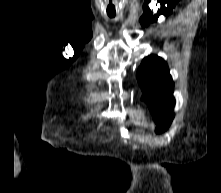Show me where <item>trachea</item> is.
<instances>
[{
  "label": "trachea",
  "instance_id": "trachea-1",
  "mask_svg": "<svg viewBox=\"0 0 221 193\" xmlns=\"http://www.w3.org/2000/svg\"><path fill=\"white\" fill-rule=\"evenodd\" d=\"M110 17H114V15H110Z\"/></svg>",
  "mask_w": 221,
  "mask_h": 193
}]
</instances>
